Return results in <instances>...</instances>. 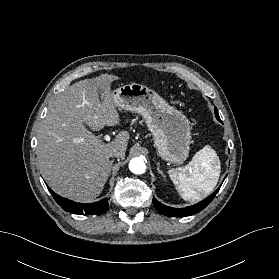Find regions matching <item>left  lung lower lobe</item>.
<instances>
[{
	"instance_id": "left-lung-lower-lobe-1",
	"label": "left lung lower lobe",
	"mask_w": 279,
	"mask_h": 279,
	"mask_svg": "<svg viewBox=\"0 0 279 279\" xmlns=\"http://www.w3.org/2000/svg\"><path fill=\"white\" fill-rule=\"evenodd\" d=\"M217 119L220 120L218 117H217ZM219 189H220V187L205 200H203L195 205L186 207V208L168 207V206L163 205L159 201H157L155 198H153L152 201H153L155 209L163 215L171 216V217L190 216V215H194V214L200 212L201 210H203L213 200V198L215 197V195L217 194Z\"/></svg>"
}]
</instances>
